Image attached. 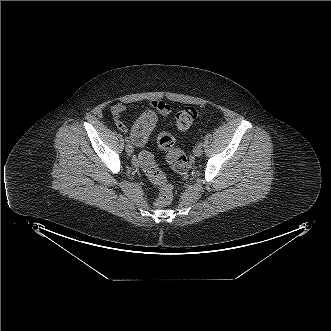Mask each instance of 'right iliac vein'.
Listing matches in <instances>:
<instances>
[{"mask_svg": "<svg viewBox=\"0 0 331 331\" xmlns=\"http://www.w3.org/2000/svg\"><path fill=\"white\" fill-rule=\"evenodd\" d=\"M127 154L131 155L134 152V148L131 144H127L125 147Z\"/></svg>", "mask_w": 331, "mask_h": 331, "instance_id": "obj_1", "label": "right iliac vein"}]
</instances>
